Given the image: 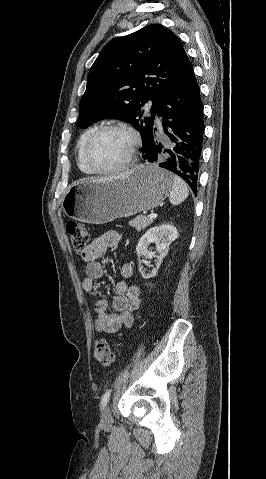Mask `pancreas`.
<instances>
[{"mask_svg":"<svg viewBox=\"0 0 266 479\" xmlns=\"http://www.w3.org/2000/svg\"><path fill=\"white\" fill-rule=\"evenodd\" d=\"M153 222V219H150L144 215H138L134 219L129 221V225L135 227L137 231L144 230Z\"/></svg>","mask_w":266,"mask_h":479,"instance_id":"obj_1","label":"pancreas"}]
</instances>
